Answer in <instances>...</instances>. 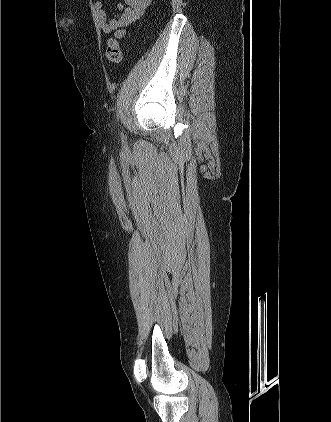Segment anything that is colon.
Segmentation results:
<instances>
[{
    "mask_svg": "<svg viewBox=\"0 0 331 422\" xmlns=\"http://www.w3.org/2000/svg\"><path fill=\"white\" fill-rule=\"evenodd\" d=\"M106 58L113 65L119 64L122 60L121 45L114 38H110L107 41Z\"/></svg>",
    "mask_w": 331,
    "mask_h": 422,
    "instance_id": "colon-1",
    "label": "colon"
}]
</instances>
